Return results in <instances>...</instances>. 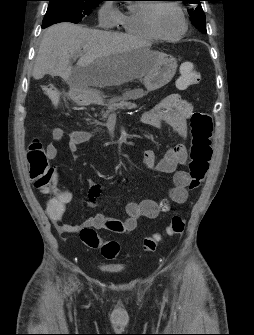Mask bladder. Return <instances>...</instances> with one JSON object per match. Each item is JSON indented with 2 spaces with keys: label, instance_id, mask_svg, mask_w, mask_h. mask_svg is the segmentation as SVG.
Listing matches in <instances>:
<instances>
[{
  "label": "bladder",
  "instance_id": "bladder-1",
  "mask_svg": "<svg viewBox=\"0 0 254 335\" xmlns=\"http://www.w3.org/2000/svg\"><path fill=\"white\" fill-rule=\"evenodd\" d=\"M101 270L106 273H119L122 271V268L118 267H110V266H102Z\"/></svg>",
  "mask_w": 254,
  "mask_h": 335
}]
</instances>
